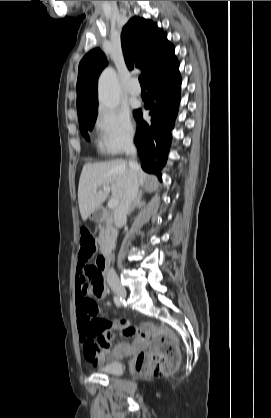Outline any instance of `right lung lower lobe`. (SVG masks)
<instances>
[{
	"label": "right lung lower lobe",
	"instance_id": "98d812e1",
	"mask_svg": "<svg viewBox=\"0 0 271 418\" xmlns=\"http://www.w3.org/2000/svg\"><path fill=\"white\" fill-rule=\"evenodd\" d=\"M146 87L145 108L150 109L152 118L150 122H145L140 109L134 112L137 121L135 144L142 168L161 179V169L166 163L171 143L170 130L180 102L181 76L177 59L150 76Z\"/></svg>",
	"mask_w": 271,
	"mask_h": 418
}]
</instances>
